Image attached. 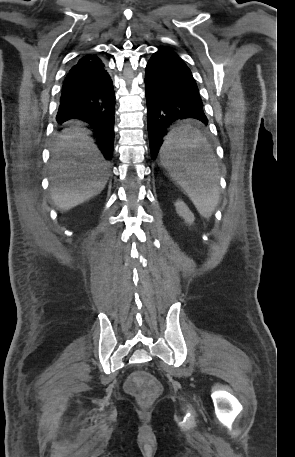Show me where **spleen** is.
Instances as JSON below:
<instances>
[{
  "label": "spleen",
  "mask_w": 295,
  "mask_h": 457,
  "mask_svg": "<svg viewBox=\"0 0 295 457\" xmlns=\"http://www.w3.org/2000/svg\"><path fill=\"white\" fill-rule=\"evenodd\" d=\"M206 138L194 127L173 129L160 150L164 166L188 194L201 216L209 218L219 202L216 172L211 165L196 163L190 155L207 149Z\"/></svg>",
  "instance_id": "3e777b00"
}]
</instances>
